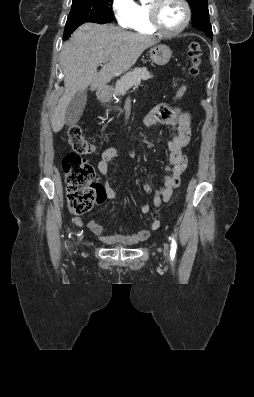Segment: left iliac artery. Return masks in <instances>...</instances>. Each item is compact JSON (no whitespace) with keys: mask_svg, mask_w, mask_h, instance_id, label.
I'll use <instances>...</instances> for the list:
<instances>
[{"mask_svg":"<svg viewBox=\"0 0 254 397\" xmlns=\"http://www.w3.org/2000/svg\"><path fill=\"white\" fill-rule=\"evenodd\" d=\"M171 241L172 242H171L170 255H171V258H174L176 249H177V245H176V242L173 237L171 238Z\"/></svg>","mask_w":254,"mask_h":397,"instance_id":"44dca946","label":"left iliac artery"}]
</instances>
